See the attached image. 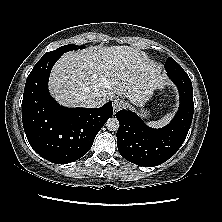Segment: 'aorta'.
I'll return each instance as SVG.
<instances>
[{
    "mask_svg": "<svg viewBox=\"0 0 222 222\" xmlns=\"http://www.w3.org/2000/svg\"><path fill=\"white\" fill-rule=\"evenodd\" d=\"M109 131H117L119 129V121L117 118H109L106 122Z\"/></svg>",
    "mask_w": 222,
    "mask_h": 222,
    "instance_id": "762f6f07",
    "label": "aorta"
}]
</instances>
